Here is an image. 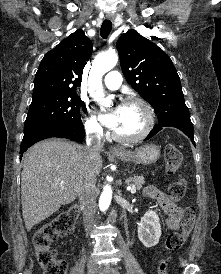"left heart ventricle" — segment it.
<instances>
[{"label":"left heart ventricle","instance_id":"1","mask_svg":"<svg viewBox=\"0 0 221 274\" xmlns=\"http://www.w3.org/2000/svg\"><path fill=\"white\" fill-rule=\"evenodd\" d=\"M145 125V113L138 104L119 106L118 122L113 129L122 136H133L138 134Z\"/></svg>","mask_w":221,"mask_h":274}]
</instances>
